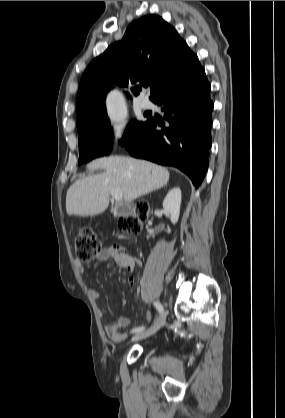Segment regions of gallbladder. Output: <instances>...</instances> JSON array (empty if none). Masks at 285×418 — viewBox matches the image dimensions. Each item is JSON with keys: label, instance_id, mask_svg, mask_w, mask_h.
I'll use <instances>...</instances> for the list:
<instances>
[{"label": "gallbladder", "instance_id": "gallbladder-1", "mask_svg": "<svg viewBox=\"0 0 285 418\" xmlns=\"http://www.w3.org/2000/svg\"><path fill=\"white\" fill-rule=\"evenodd\" d=\"M125 208H126V206L117 207L115 212H114V215L115 216H121L124 213Z\"/></svg>", "mask_w": 285, "mask_h": 418}]
</instances>
